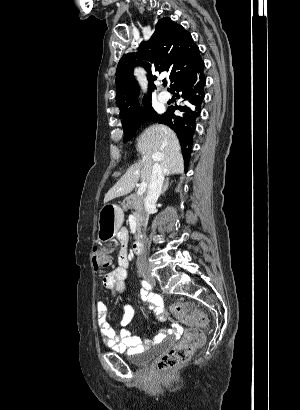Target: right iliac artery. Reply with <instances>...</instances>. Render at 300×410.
I'll return each instance as SVG.
<instances>
[{
  "mask_svg": "<svg viewBox=\"0 0 300 410\" xmlns=\"http://www.w3.org/2000/svg\"><path fill=\"white\" fill-rule=\"evenodd\" d=\"M142 286H143L145 289H147V290H151V289H152L151 284L148 283V282L145 281V280L142 281Z\"/></svg>",
  "mask_w": 300,
  "mask_h": 410,
  "instance_id": "1",
  "label": "right iliac artery"
}]
</instances>
